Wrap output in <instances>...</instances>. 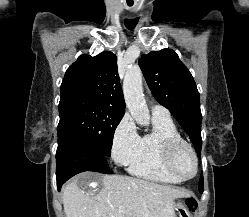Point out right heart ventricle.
<instances>
[{
	"label": "right heart ventricle",
	"mask_w": 249,
	"mask_h": 217,
	"mask_svg": "<svg viewBox=\"0 0 249 217\" xmlns=\"http://www.w3.org/2000/svg\"><path fill=\"white\" fill-rule=\"evenodd\" d=\"M169 140H183L171 118L153 116V131L140 137L138 149L129 163V172L140 178L164 183L177 184L182 180L167 169L164 145Z\"/></svg>",
	"instance_id": "1"
}]
</instances>
